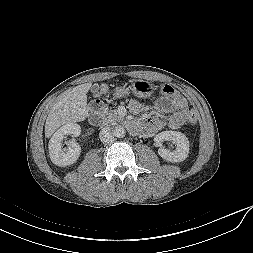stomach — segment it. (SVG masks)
<instances>
[{
    "instance_id": "stomach-1",
    "label": "stomach",
    "mask_w": 253,
    "mask_h": 253,
    "mask_svg": "<svg viewBox=\"0 0 253 253\" xmlns=\"http://www.w3.org/2000/svg\"><path fill=\"white\" fill-rule=\"evenodd\" d=\"M155 89L156 87L149 81L137 79L132 83V87L130 89L125 87H116L114 97H124L132 91L133 94L139 98H148L154 93Z\"/></svg>"
}]
</instances>
